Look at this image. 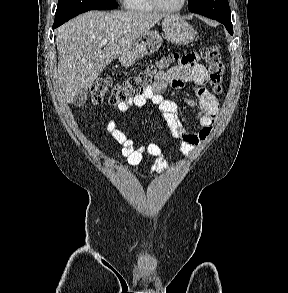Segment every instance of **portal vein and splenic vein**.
<instances>
[{
  "instance_id": "obj_1",
  "label": "portal vein and splenic vein",
  "mask_w": 288,
  "mask_h": 293,
  "mask_svg": "<svg viewBox=\"0 0 288 293\" xmlns=\"http://www.w3.org/2000/svg\"><path fill=\"white\" fill-rule=\"evenodd\" d=\"M107 43H108V39H103V40H101L100 45H101V46H104V45H106Z\"/></svg>"
}]
</instances>
